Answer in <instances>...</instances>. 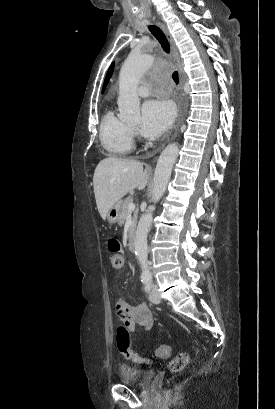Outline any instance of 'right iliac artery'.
I'll return each mask as SVG.
<instances>
[{"mask_svg": "<svg viewBox=\"0 0 275 409\" xmlns=\"http://www.w3.org/2000/svg\"><path fill=\"white\" fill-rule=\"evenodd\" d=\"M141 281L143 284H146L149 281V276L143 277Z\"/></svg>", "mask_w": 275, "mask_h": 409, "instance_id": "right-iliac-artery-1", "label": "right iliac artery"}]
</instances>
